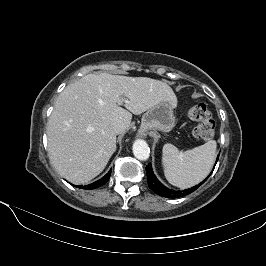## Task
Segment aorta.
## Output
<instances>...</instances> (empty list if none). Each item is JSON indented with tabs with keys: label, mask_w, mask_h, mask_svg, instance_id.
I'll list each match as a JSON object with an SVG mask.
<instances>
[{
	"label": "aorta",
	"mask_w": 266,
	"mask_h": 266,
	"mask_svg": "<svg viewBox=\"0 0 266 266\" xmlns=\"http://www.w3.org/2000/svg\"><path fill=\"white\" fill-rule=\"evenodd\" d=\"M133 154L139 160H147L150 155V149L147 143L141 139L136 140L133 144Z\"/></svg>",
	"instance_id": "aorta-1"
}]
</instances>
